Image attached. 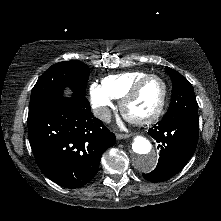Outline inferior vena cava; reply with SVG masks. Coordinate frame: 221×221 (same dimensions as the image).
Masks as SVG:
<instances>
[{"instance_id":"1","label":"inferior vena cava","mask_w":221,"mask_h":221,"mask_svg":"<svg viewBox=\"0 0 221 221\" xmlns=\"http://www.w3.org/2000/svg\"><path fill=\"white\" fill-rule=\"evenodd\" d=\"M94 115L104 122L111 121V110L108 107H100L95 109Z\"/></svg>"}]
</instances>
